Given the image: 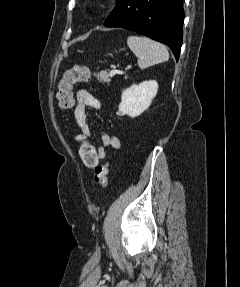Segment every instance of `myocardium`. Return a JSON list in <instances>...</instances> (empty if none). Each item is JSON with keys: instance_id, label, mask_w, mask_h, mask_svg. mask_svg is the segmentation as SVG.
Listing matches in <instances>:
<instances>
[{"instance_id": "myocardium-1", "label": "myocardium", "mask_w": 240, "mask_h": 287, "mask_svg": "<svg viewBox=\"0 0 240 287\" xmlns=\"http://www.w3.org/2000/svg\"><path fill=\"white\" fill-rule=\"evenodd\" d=\"M99 9V4L98 3H93V5H92V10L93 11H96V10H98Z\"/></svg>"}]
</instances>
